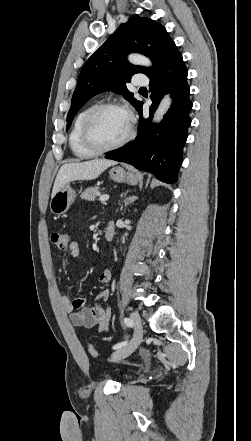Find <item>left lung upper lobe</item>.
<instances>
[{
  "label": "left lung upper lobe",
  "mask_w": 251,
  "mask_h": 441,
  "mask_svg": "<svg viewBox=\"0 0 251 441\" xmlns=\"http://www.w3.org/2000/svg\"><path fill=\"white\" fill-rule=\"evenodd\" d=\"M174 46L165 27L150 18L134 16L122 24L83 66L72 96L66 129L89 99L105 91L122 94L137 108L141 101L134 98L126 83L135 73H144L150 78L160 69ZM129 52L146 55L154 65L146 68L130 64L127 61Z\"/></svg>",
  "instance_id": "obj_1"
}]
</instances>
